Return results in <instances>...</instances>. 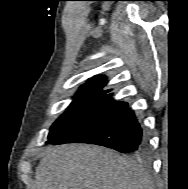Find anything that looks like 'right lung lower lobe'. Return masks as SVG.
I'll use <instances>...</instances> for the list:
<instances>
[{"label": "right lung lower lobe", "instance_id": "obj_1", "mask_svg": "<svg viewBox=\"0 0 188 189\" xmlns=\"http://www.w3.org/2000/svg\"><path fill=\"white\" fill-rule=\"evenodd\" d=\"M90 143L123 153L140 154L148 141L141 123L127 102L106 95L50 144Z\"/></svg>", "mask_w": 188, "mask_h": 189}]
</instances>
